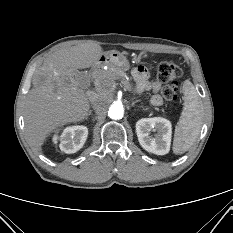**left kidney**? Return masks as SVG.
Listing matches in <instances>:
<instances>
[{"mask_svg":"<svg viewBox=\"0 0 233 233\" xmlns=\"http://www.w3.org/2000/svg\"><path fill=\"white\" fill-rule=\"evenodd\" d=\"M156 130L155 137L149 132ZM138 141L143 149L156 155H165L170 150L172 125L165 118H142L136 122Z\"/></svg>","mask_w":233,"mask_h":233,"instance_id":"obj_1","label":"left kidney"}]
</instances>
